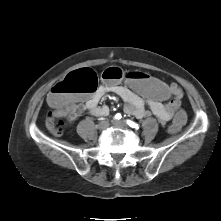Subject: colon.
Returning a JSON list of instances; mask_svg holds the SVG:
<instances>
[{
  "instance_id": "5ec220e1",
  "label": "colon",
  "mask_w": 221,
  "mask_h": 221,
  "mask_svg": "<svg viewBox=\"0 0 221 221\" xmlns=\"http://www.w3.org/2000/svg\"><path fill=\"white\" fill-rule=\"evenodd\" d=\"M102 77L106 81L115 82L122 79L123 73L118 68H109L104 71ZM97 86V74L90 68H82L69 73L62 81L57 83L48 96V102L56 111L68 117L76 99L81 95L94 93ZM122 86L163 104L171 103L176 96L175 88L171 84L163 83L156 76L137 72L135 69H128L125 72ZM187 120V110L183 107L176 108L170 121L171 126L167 129V134L170 137H175L178 131L186 127Z\"/></svg>"
}]
</instances>
